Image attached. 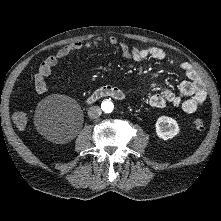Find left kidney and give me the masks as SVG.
Wrapping results in <instances>:
<instances>
[{"instance_id":"1","label":"left kidney","mask_w":221,"mask_h":221,"mask_svg":"<svg viewBox=\"0 0 221 221\" xmlns=\"http://www.w3.org/2000/svg\"><path fill=\"white\" fill-rule=\"evenodd\" d=\"M177 121L168 116H161L156 121V134L163 140L172 139L179 133Z\"/></svg>"}]
</instances>
